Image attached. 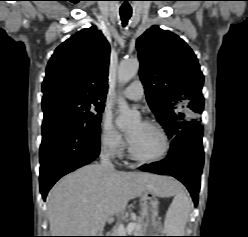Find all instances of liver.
<instances>
[{
    "label": "liver",
    "mask_w": 248,
    "mask_h": 237,
    "mask_svg": "<svg viewBox=\"0 0 248 237\" xmlns=\"http://www.w3.org/2000/svg\"><path fill=\"white\" fill-rule=\"evenodd\" d=\"M179 185L167 177L120 172L100 164L86 165L65 176L47 197L51 236H101L106 221L125 210L144 192L160 194Z\"/></svg>",
    "instance_id": "6515ba94"
}]
</instances>
